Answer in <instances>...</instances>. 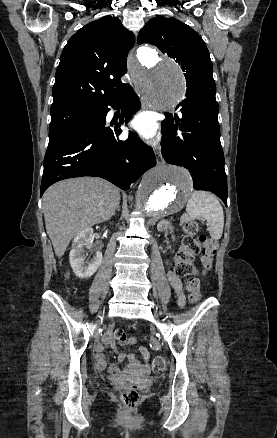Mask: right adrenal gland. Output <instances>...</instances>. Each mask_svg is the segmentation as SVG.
<instances>
[{
	"mask_svg": "<svg viewBox=\"0 0 277 438\" xmlns=\"http://www.w3.org/2000/svg\"><path fill=\"white\" fill-rule=\"evenodd\" d=\"M120 208H121V206H120V204H118V206H117V212H120Z\"/></svg>",
	"mask_w": 277,
	"mask_h": 438,
	"instance_id": "2a0ac1e0",
	"label": "right adrenal gland"
}]
</instances>
